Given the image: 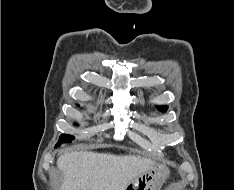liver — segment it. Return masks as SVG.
I'll use <instances>...</instances> for the list:
<instances>
[{
	"label": "liver",
	"mask_w": 234,
	"mask_h": 190,
	"mask_svg": "<svg viewBox=\"0 0 234 190\" xmlns=\"http://www.w3.org/2000/svg\"><path fill=\"white\" fill-rule=\"evenodd\" d=\"M153 164V160L139 155L90 151L66 153L57 160L64 175L60 190H125Z\"/></svg>",
	"instance_id": "obj_1"
}]
</instances>
